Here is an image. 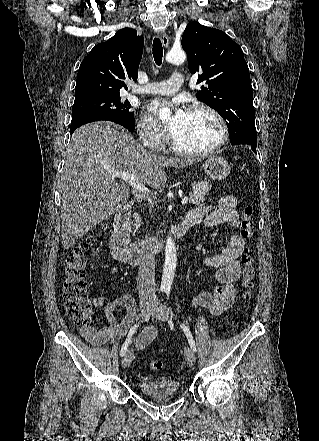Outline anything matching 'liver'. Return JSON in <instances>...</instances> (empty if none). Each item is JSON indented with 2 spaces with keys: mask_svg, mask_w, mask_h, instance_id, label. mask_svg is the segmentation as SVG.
<instances>
[{
  "mask_svg": "<svg viewBox=\"0 0 319 441\" xmlns=\"http://www.w3.org/2000/svg\"><path fill=\"white\" fill-rule=\"evenodd\" d=\"M65 156L60 198L66 250L128 199L129 187L118 184L112 171L134 173L144 186L159 189L167 180L165 168H184L195 162L148 152L125 128L109 121L78 128Z\"/></svg>",
  "mask_w": 319,
  "mask_h": 441,
  "instance_id": "6515ba94",
  "label": "liver"
}]
</instances>
